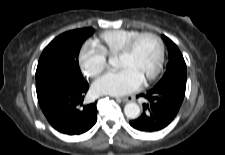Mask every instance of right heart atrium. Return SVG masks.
I'll return each instance as SVG.
<instances>
[{
  "label": "right heart atrium",
  "mask_w": 225,
  "mask_h": 155,
  "mask_svg": "<svg viewBox=\"0 0 225 155\" xmlns=\"http://www.w3.org/2000/svg\"><path fill=\"white\" fill-rule=\"evenodd\" d=\"M78 61L83 74L90 78L98 76L106 67V56L90 44L81 48Z\"/></svg>",
  "instance_id": "1"
}]
</instances>
